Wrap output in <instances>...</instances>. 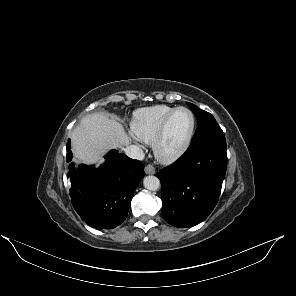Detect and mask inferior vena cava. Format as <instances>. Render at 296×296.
Here are the masks:
<instances>
[{"instance_id":"602c4592","label":"inferior vena cava","mask_w":296,"mask_h":296,"mask_svg":"<svg viewBox=\"0 0 296 296\" xmlns=\"http://www.w3.org/2000/svg\"><path fill=\"white\" fill-rule=\"evenodd\" d=\"M125 154L128 157H130L132 159H137V160H143L145 157V154L142 151V149H140L139 147H137L135 145L128 146L125 149Z\"/></svg>"}]
</instances>
